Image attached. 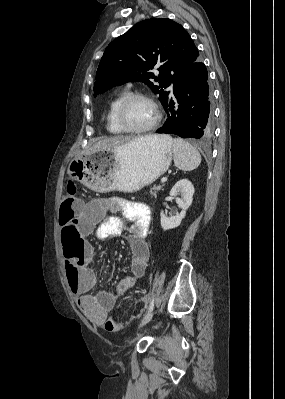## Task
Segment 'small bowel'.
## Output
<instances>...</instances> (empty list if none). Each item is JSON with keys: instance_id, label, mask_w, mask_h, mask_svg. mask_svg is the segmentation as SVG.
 Wrapping results in <instances>:
<instances>
[{"instance_id": "1", "label": "small bowel", "mask_w": 285, "mask_h": 399, "mask_svg": "<svg viewBox=\"0 0 285 399\" xmlns=\"http://www.w3.org/2000/svg\"><path fill=\"white\" fill-rule=\"evenodd\" d=\"M114 206L118 207L123 217L108 216V211ZM95 207L102 215L101 223L95 231L97 240L123 234L127 236L131 253L130 272L121 276L114 291L102 289L96 296L90 294L89 291L96 286L98 278L89 266L93 249L91 245L85 244V265L78 277L69 281V288L82 312L97 325L115 333L121 329L122 325L116 319L108 317V311L116 305L119 297L130 290L145 273L150 256L145 238L149 231L151 217L145 203L127 199H120L113 205L107 201L98 200ZM84 209L85 207L76 209L74 221L82 225L78 230V236L90 232V227L80 216ZM62 237L65 238L64 229H62Z\"/></svg>"}]
</instances>
